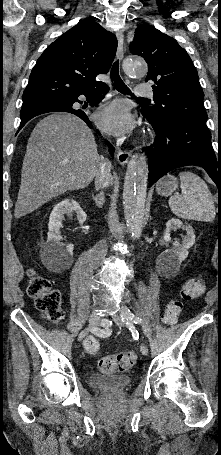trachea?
Masks as SVG:
<instances>
[{"instance_id": "trachea-1", "label": "trachea", "mask_w": 221, "mask_h": 455, "mask_svg": "<svg viewBox=\"0 0 221 455\" xmlns=\"http://www.w3.org/2000/svg\"><path fill=\"white\" fill-rule=\"evenodd\" d=\"M118 71H119V62L116 61V62H114L113 66L111 68V72H110V77H111V80L113 81L114 87L120 93L128 94V95H131L134 97V94L131 93V90L125 85L123 80L120 78ZM139 98L146 99V98H141V97H139Z\"/></svg>"}]
</instances>
